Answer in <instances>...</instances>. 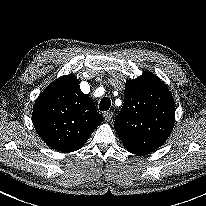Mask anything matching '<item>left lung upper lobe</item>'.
I'll use <instances>...</instances> for the list:
<instances>
[{"mask_svg": "<svg viewBox=\"0 0 206 206\" xmlns=\"http://www.w3.org/2000/svg\"><path fill=\"white\" fill-rule=\"evenodd\" d=\"M175 105L167 86L151 72L125 84L124 104L115 119V130L126 149L145 155L170 136Z\"/></svg>", "mask_w": 206, "mask_h": 206, "instance_id": "1", "label": "left lung upper lobe"}]
</instances>
